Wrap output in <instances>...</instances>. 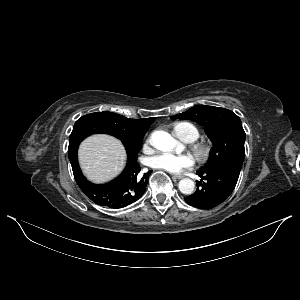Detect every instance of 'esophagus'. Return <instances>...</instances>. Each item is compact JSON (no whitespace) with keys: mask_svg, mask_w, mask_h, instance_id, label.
<instances>
[{"mask_svg":"<svg viewBox=\"0 0 300 300\" xmlns=\"http://www.w3.org/2000/svg\"><path fill=\"white\" fill-rule=\"evenodd\" d=\"M172 178L173 179H182L183 176L182 175H178V174H174V175H172Z\"/></svg>","mask_w":300,"mask_h":300,"instance_id":"obj_1","label":"esophagus"}]
</instances>
